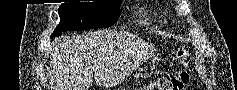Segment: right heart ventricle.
Here are the masks:
<instances>
[{
	"label": "right heart ventricle",
	"mask_w": 237,
	"mask_h": 90,
	"mask_svg": "<svg viewBox=\"0 0 237 90\" xmlns=\"http://www.w3.org/2000/svg\"><path fill=\"white\" fill-rule=\"evenodd\" d=\"M150 10H161V7L158 6H150V7H140V11H145V12H135V16H147L148 13H150ZM151 21L148 19H145L142 21L143 25H149Z\"/></svg>",
	"instance_id": "right-heart-ventricle-1"
}]
</instances>
